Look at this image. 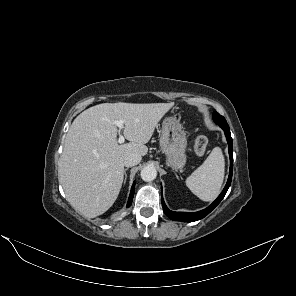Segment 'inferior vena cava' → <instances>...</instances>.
Returning <instances> with one entry per match:
<instances>
[{
  "mask_svg": "<svg viewBox=\"0 0 296 296\" xmlns=\"http://www.w3.org/2000/svg\"><path fill=\"white\" fill-rule=\"evenodd\" d=\"M141 156L139 154H130L124 159V165L126 167H132L140 163Z\"/></svg>",
  "mask_w": 296,
  "mask_h": 296,
  "instance_id": "inferior-vena-cava-1",
  "label": "inferior vena cava"
}]
</instances>
